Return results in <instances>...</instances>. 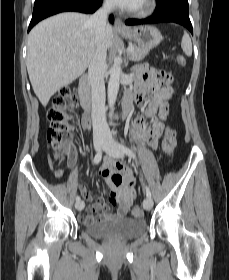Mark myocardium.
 <instances>
[{
    "mask_svg": "<svg viewBox=\"0 0 229 280\" xmlns=\"http://www.w3.org/2000/svg\"><path fill=\"white\" fill-rule=\"evenodd\" d=\"M156 9V0H144L140 7L127 8V12L135 17H146Z\"/></svg>",
    "mask_w": 229,
    "mask_h": 280,
    "instance_id": "f54148a6",
    "label": "myocardium"
}]
</instances>
